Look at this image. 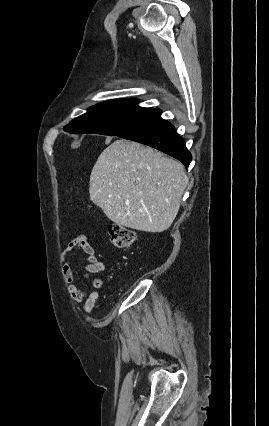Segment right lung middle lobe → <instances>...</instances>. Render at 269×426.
Returning a JSON list of instances; mask_svg holds the SVG:
<instances>
[{
  "label": "right lung middle lobe",
  "mask_w": 269,
  "mask_h": 426,
  "mask_svg": "<svg viewBox=\"0 0 269 426\" xmlns=\"http://www.w3.org/2000/svg\"><path fill=\"white\" fill-rule=\"evenodd\" d=\"M137 99H115L91 107L87 113L67 125L72 133L119 136L143 122L153 108L137 105Z\"/></svg>",
  "instance_id": "right-lung-middle-lobe-1"
}]
</instances>
